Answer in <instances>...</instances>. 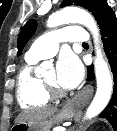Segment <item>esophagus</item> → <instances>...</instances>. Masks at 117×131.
Returning a JSON list of instances; mask_svg holds the SVG:
<instances>
[{"mask_svg": "<svg viewBox=\"0 0 117 131\" xmlns=\"http://www.w3.org/2000/svg\"><path fill=\"white\" fill-rule=\"evenodd\" d=\"M82 94L87 97L92 94V88L90 86H87L83 89Z\"/></svg>", "mask_w": 117, "mask_h": 131, "instance_id": "esophagus-1", "label": "esophagus"}]
</instances>
